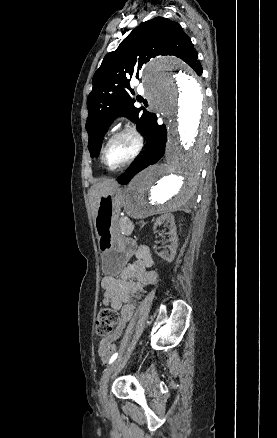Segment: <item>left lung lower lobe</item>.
I'll use <instances>...</instances> for the list:
<instances>
[{
	"label": "left lung lower lobe",
	"mask_w": 277,
	"mask_h": 438,
	"mask_svg": "<svg viewBox=\"0 0 277 438\" xmlns=\"http://www.w3.org/2000/svg\"><path fill=\"white\" fill-rule=\"evenodd\" d=\"M150 120L146 149L143 155L117 178L121 184L129 183L138 172L157 163L164 155L167 140L166 126L157 124L156 115H152Z\"/></svg>",
	"instance_id": "0a47b994"
}]
</instances>
